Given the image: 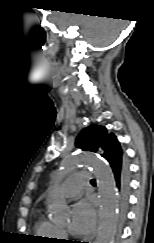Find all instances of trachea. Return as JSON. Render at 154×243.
Wrapping results in <instances>:
<instances>
[{
    "instance_id": "3493384b",
    "label": "trachea",
    "mask_w": 154,
    "mask_h": 243,
    "mask_svg": "<svg viewBox=\"0 0 154 243\" xmlns=\"http://www.w3.org/2000/svg\"><path fill=\"white\" fill-rule=\"evenodd\" d=\"M91 182H95V179H92Z\"/></svg>"
}]
</instances>
